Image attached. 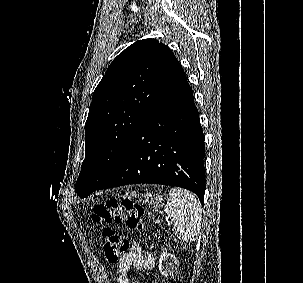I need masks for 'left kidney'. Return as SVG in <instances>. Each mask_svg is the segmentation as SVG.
Wrapping results in <instances>:
<instances>
[{
	"mask_svg": "<svg viewBox=\"0 0 303 283\" xmlns=\"http://www.w3.org/2000/svg\"><path fill=\"white\" fill-rule=\"evenodd\" d=\"M178 265V260L175 255L169 254L167 252H163L159 259V270L162 275L168 276L173 273Z\"/></svg>",
	"mask_w": 303,
	"mask_h": 283,
	"instance_id": "obj_1",
	"label": "left kidney"
}]
</instances>
